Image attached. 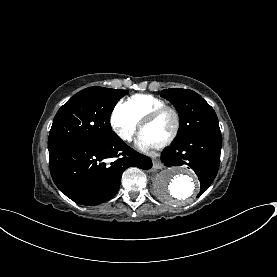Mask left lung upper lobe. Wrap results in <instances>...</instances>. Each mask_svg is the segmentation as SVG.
Segmentation results:
<instances>
[{
    "instance_id": "obj_1",
    "label": "left lung upper lobe",
    "mask_w": 277,
    "mask_h": 277,
    "mask_svg": "<svg viewBox=\"0 0 277 277\" xmlns=\"http://www.w3.org/2000/svg\"><path fill=\"white\" fill-rule=\"evenodd\" d=\"M161 96L169 100L178 111L180 130L176 141L199 133L220 131L215 111L196 92L172 88L163 90Z\"/></svg>"
}]
</instances>
